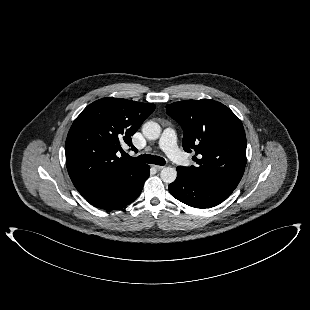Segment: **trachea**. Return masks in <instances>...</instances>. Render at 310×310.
I'll return each instance as SVG.
<instances>
[{
	"label": "trachea",
	"instance_id": "obj_1",
	"mask_svg": "<svg viewBox=\"0 0 310 310\" xmlns=\"http://www.w3.org/2000/svg\"><path fill=\"white\" fill-rule=\"evenodd\" d=\"M134 160H136L138 162L149 163V164L165 165V159L164 158H162L160 156L150 155V154L140 155V156L134 158Z\"/></svg>",
	"mask_w": 310,
	"mask_h": 310
}]
</instances>
